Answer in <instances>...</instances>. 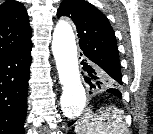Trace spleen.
Segmentation results:
<instances>
[{"instance_id": "3e777b00", "label": "spleen", "mask_w": 153, "mask_h": 134, "mask_svg": "<svg viewBox=\"0 0 153 134\" xmlns=\"http://www.w3.org/2000/svg\"><path fill=\"white\" fill-rule=\"evenodd\" d=\"M124 111L115 106L102 108L99 114L87 110L75 126L76 134H126Z\"/></svg>"}]
</instances>
